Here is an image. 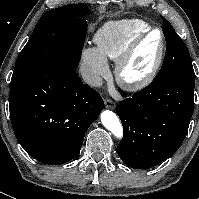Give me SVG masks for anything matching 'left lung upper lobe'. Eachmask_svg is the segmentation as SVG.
Here are the masks:
<instances>
[{
  "label": "left lung upper lobe",
  "instance_id": "5c2ea615",
  "mask_svg": "<svg viewBox=\"0 0 199 199\" xmlns=\"http://www.w3.org/2000/svg\"><path fill=\"white\" fill-rule=\"evenodd\" d=\"M162 30L166 40V53L162 68L152 83L170 78H195L189 51L173 26L163 17Z\"/></svg>",
  "mask_w": 199,
  "mask_h": 199
}]
</instances>
